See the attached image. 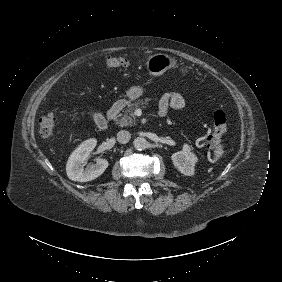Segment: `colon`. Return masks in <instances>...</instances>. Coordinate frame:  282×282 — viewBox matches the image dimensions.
Masks as SVG:
<instances>
[{"label":"colon","mask_w":282,"mask_h":282,"mask_svg":"<svg viewBox=\"0 0 282 282\" xmlns=\"http://www.w3.org/2000/svg\"><path fill=\"white\" fill-rule=\"evenodd\" d=\"M128 59L123 54H110L105 59V65L111 70H123L128 66ZM57 116L53 112L45 113L39 120V131L49 137L53 134L57 125ZM228 131L227 115L224 111L218 110L212 115V126L206 136V143L210 149L219 148Z\"/></svg>","instance_id":"1"}]
</instances>
